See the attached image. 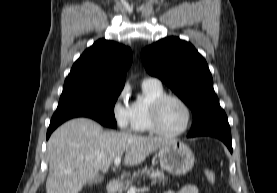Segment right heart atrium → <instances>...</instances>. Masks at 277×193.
I'll return each mask as SVG.
<instances>
[{"instance_id":"obj_1","label":"right heart atrium","mask_w":277,"mask_h":193,"mask_svg":"<svg viewBox=\"0 0 277 193\" xmlns=\"http://www.w3.org/2000/svg\"><path fill=\"white\" fill-rule=\"evenodd\" d=\"M112 115L117 126L122 130L132 128V110L128 102V93L122 89L115 97L112 104Z\"/></svg>"}]
</instances>
